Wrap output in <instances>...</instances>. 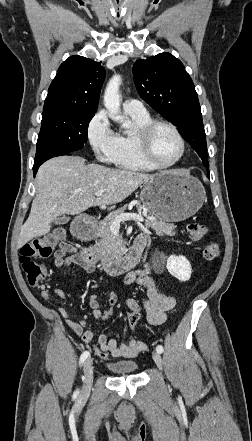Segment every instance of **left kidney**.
<instances>
[{
  "label": "left kidney",
  "mask_w": 252,
  "mask_h": 441,
  "mask_svg": "<svg viewBox=\"0 0 252 441\" xmlns=\"http://www.w3.org/2000/svg\"><path fill=\"white\" fill-rule=\"evenodd\" d=\"M166 268L172 276L181 282H186L191 277L192 268L190 262L184 256H169Z\"/></svg>",
  "instance_id": "left-kidney-1"
}]
</instances>
